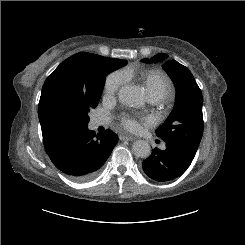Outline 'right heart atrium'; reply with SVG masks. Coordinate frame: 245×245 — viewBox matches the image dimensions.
Instances as JSON below:
<instances>
[{"mask_svg":"<svg viewBox=\"0 0 245 245\" xmlns=\"http://www.w3.org/2000/svg\"><path fill=\"white\" fill-rule=\"evenodd\" d=\"M125 79L126 77L124 73L121 71H115L110 75H108L104 85L105 94L108 96L114 95L119 90V88L123 85Z\"/></svg>","mask_w":245,"mask_h":245,"instance_id":"right-heart-atrium-1","label":"right heart atrium"}]
</instances>
